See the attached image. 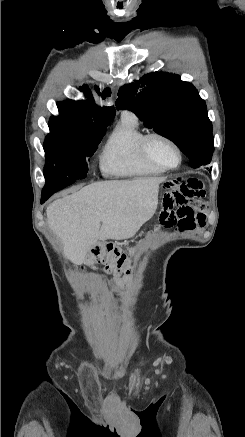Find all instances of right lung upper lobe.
I'll return each mask as SVG.
<instances>
[{
    "mask_svg": "<svg viewBox=\"0 0 245 437\" xmlns=\"http://www.w3.org/2000/svg\"><path fill=\"white\" fill-rule=\"evenodd\" d=\"M79 89L85 92L87 100H67L63 102H58L57 107L60 116L82 124L108 126L114 118L115 108H101L97 104H95L91 90L88 88V86L83 85ZM95 90L99 95H101L103 99H105V97L109 96L110 94L108 88L105 89L102 93H100V89L97 86H95Z\"/></svg>",
    "mask_w": 245,
    "mask_h": 437,
    "instance_id": "1",
    "label": "right lung upper lobe"
}]
</instances>
